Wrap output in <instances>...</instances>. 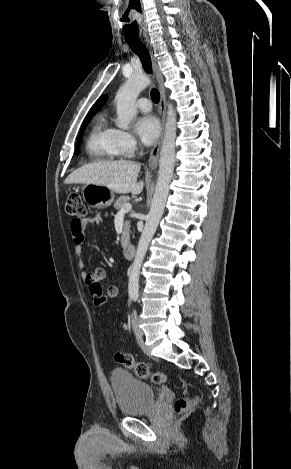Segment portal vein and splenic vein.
<instances>
[{"label":"portal vein and splenic vein","mask_w":291,"mask_h":469,"mask_svg":"<svg viewBox=\"0 0 291 469\" xmlns=\"http://www.w3.org/2000/svg\"><path fill=\"white\" fill-rule=\"evenodd\" d=\"M131 209H132V205L130 203H127L126 205H124L123 208L120 209L119 213L120 214H125V213L129 212Z\"/></svg>","instance_id":"portal-vein-and-splenic-vein-1"}]
</instances>
